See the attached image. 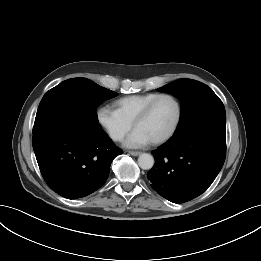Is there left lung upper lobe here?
I'll return each mask as SVG.
<instances>
[{
    "label": "left lung upper lobe",
    "instance_id": "obj_1",
    "mask_svg": "<svg viewBox=\"0 0 261 261\" xmlns=\"http://www.w3.org/2000/svg\"><path fill=\"white\" fill-rule=\"evenodd\" d=\"M157 90L174 95L181 103L179 124L172 137L226 121L222 101L211 88L199 81L178 79Z\"/></svg>",
    "mask_w": 261,
    "mask_h": 261
}]
</instances>
